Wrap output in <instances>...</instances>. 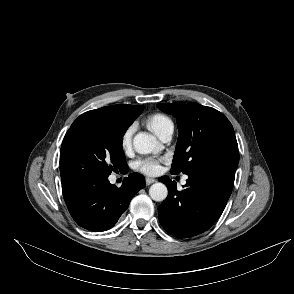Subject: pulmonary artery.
<instances>
[{"label":"pulmonary artery","instance_id":"1","mask_svg":"<svg viewBox=\"0 0 294 294\" xmlns=\"http://www.w3.org/2000/svg\"><path fill=\"white\" fill-rule=\"evenodd\" d=\"M173 133H174V126L172 127H169L167 130H165L161 136H160V139L163 140L164 142H168L171 140L172 136H173ZM187 176H185L183 179H182V183H185L187 181Z\"/></svg>","mask_w":294,"mask_h":294}]
</instances>
